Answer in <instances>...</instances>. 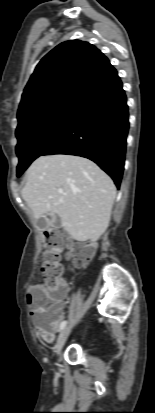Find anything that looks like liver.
Instances as JSON below:
<instances>
[{
  "label": "liver",
  "instance_id": "liver-1",
  "mask_svg": "<svg viewBox=\"0 0 155 413\" xmlns=\"http://www.w3.org/2000/svg\"><path fill=\"white\" fill-rule=\"evenodd\" d=\"M21 194L36 220L57 214L73 239L95 242L109 225L116 188L94 162L55 154L31 164Z\"/></svg>",
  "mask_w": 155,
  "mask_h": 413
}]
</instances>
